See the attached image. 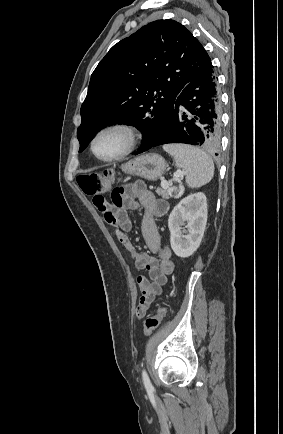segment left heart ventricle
<instances>
[{"label": "left heart ventricle", "instance_id": "obj_1", "mask_svg": "<svg viewBox=\"0 0 283 434\" xmlns=\"http://www.w3.org/2000/svg\"><path fill=\"white\" fill-rule=\"evenodd\" d=\"M124 147V138L118 132H108L103 134L95 144L98 155L110 157L118 154Z\"/></svg>", "mask_w": 283, "mask_h": 434}]
</instances>
